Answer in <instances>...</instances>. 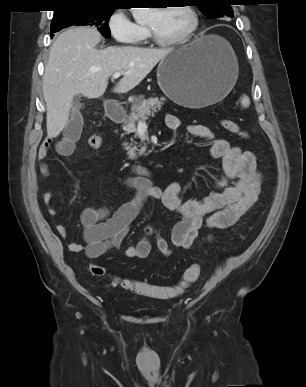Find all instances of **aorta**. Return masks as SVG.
I'll list each match as a JSON object with an SVG mask.
<instances>
[{
	"label": "aorta",
	"mask_w": 306,
	"mask_h": 387,
	"mask_svg": "<svg viewBox=\"0 0 306 387\" xmlns=\"http://www.w3.org/2000/svg\"><path fill=\"white\" fill-rule=\"evenodd\" d=\"M132 15L137 22H141L151 12L150 8H131Z\"/></svg>",
	"instance_id": "obj_1"
}]
</instances>
